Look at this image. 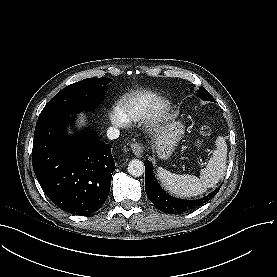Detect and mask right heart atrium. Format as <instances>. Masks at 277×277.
<instances>
[{
  "instance_id": "right-heart-atrium-1",
  "label": "right heart atrium",
  "mask_w": 277,
  "mask_h": 277,
  "mask_svg": "<svg viewBox=\"0 0 277 277\" xmlns=\"http://www.w3.org/2000/svg\"><path fill=\"white\" fill-rule=\"evenodd\" d=\"M109 120L113 125L120 126L123 124V117L117 108H113L109 113Z\"/></svg>"
}]
</instances>
